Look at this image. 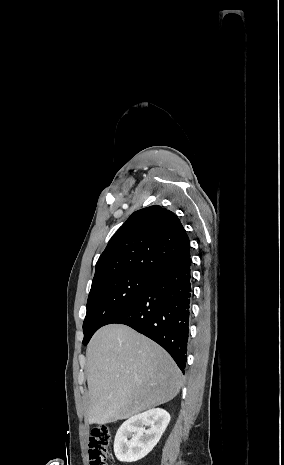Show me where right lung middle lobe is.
I'll use <instances>...</instances> for the list:
<instances>
[{"label":"right lung middle lobe","instance_id":"obj_1","mask_svg":"<svg viewBox=\"0 0 284 465\" xmlns=\"http://www.w3.org/2000/svg\"><path fill=\"white\" fill-rule=\"evenodd\" d=\"M152 276L124 274L92 284L87 300V313L83 323V344H88L92 335L130 301L152 280Z\"/></svg>","mask_w":284,"mask_h":465}]
</instances>
